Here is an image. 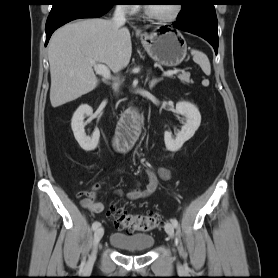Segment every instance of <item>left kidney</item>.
Wrapping results in <instances>:
<instances>
[{
  "label": "left kidney",
  "mask_w": 278,
  "mask_h": 278,
  "mask_svg": "<svg viewBox=\"0 0 278 278\" xmlns=\"http://www.w3.org/2000/svg\"><path fill=\"white\" fill-rule=\"evenodd\" d=\"M176 113L183 115L186 118V122L176 135V138H173L168 131L164 133L165 146L171 152L178 151L187 140L193 137L201 123V115L198 108L190 102H178L176 104Z\"/></svg>",
  "instance_id": "left-kidney-1"
}]
</instances>
